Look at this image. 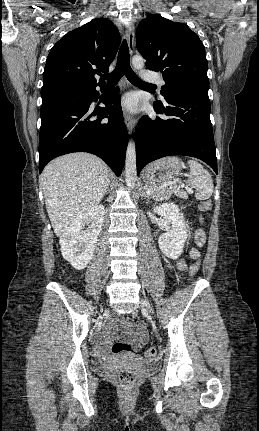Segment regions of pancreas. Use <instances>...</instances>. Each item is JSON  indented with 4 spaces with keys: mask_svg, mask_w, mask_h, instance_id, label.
Listing matches in <instances>:
<instances>
[{
    "mask_svg": "<svg viewBox=\"0 0 259 431\" xmlns=\"http://www.w3.org/2000/svg\"><path fill=\"white\" fill-rule=\"evenodd\" d=\"M154 191L150 196L155 200L169 199L172 194H176L179 198L188 199V194L184 190H180L176 184H170L166 188L161 189L159 184L148 185Z\"/></svg>",
    "mask_w": 259,
    "mask_h": 431,
    "instance_id": "obj_1",
    "label": "pancreas"
}]
</instances>
